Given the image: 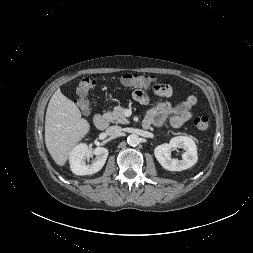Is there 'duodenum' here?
I'll list each match as a JSON object with an SVG mask.
<instances>
[{
  "mask_svg": "<svg viewBox=\"0 0 253 253\" xmlns=\"http://www.w3.org/2000/svg\"><path fill=\"white\" fill-rule=\"evenodd\" d=\"M94 126L99 130H104L108 126L107 118L102 114H97L93 118ZM144 127H148L144 124Z\"/></svg>",
  "mask_w": 253,
  "mask_h": 253,
  "instance_id": "duodenum-1",
  "label": "duodenum"
}]
</instances>
